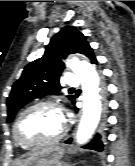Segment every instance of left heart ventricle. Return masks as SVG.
I'll use <instances>...</instances> for the list:
<instances>
[{"instance_id":"1","label":"left heart ventricle","mask_w":135,"mask_h":166,"mask_svg":"<svg viewBox=\"0 0 135 166\" xmlns=\"http://www.w3.org/2000/svg\"><path fill=\"white\" fill-rule=\"evenodd\" d=\"M63 127V119L57 110L39 108L27 113L19 123L18 135L25 141L36 143L54 139Z\"/></svg>"}]
</instances>
